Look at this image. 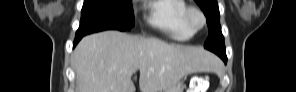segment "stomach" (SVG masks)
I'll return each mask as SVG.
<instances>
[{
	"instance_id": "0dacf381",
	"label": "stomach",
	"mask_w": 296,
	"mask_h": 92,
	"mask_svg": "<svg viewBox=\"0 0 296 92\" xmlns=\"http://www.w3.org/2000/svg\"><path fill=\"white\" fill-rule=\"evenodd\" d=\"M185 85L182 82H178L168 87L164 92H183Z\"/></svg>"
}]
</instances>
